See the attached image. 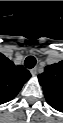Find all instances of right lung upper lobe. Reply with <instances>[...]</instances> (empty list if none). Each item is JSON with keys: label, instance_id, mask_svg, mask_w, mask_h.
<instances>
[{"label": "right lung upper lobe", "instance_id": "cb5924a9", "mask_svg": "<svg viewBox=\"0 0 63 123\" xmlns=\"http://www.w3.org/2000/svg\"><path fill=\"white\" fill-rule=\"evenodd\" d=\"M0 101L12 100L27 82L31 74L23 66H15L12 61L2 56L0 64Z\"/></svg>", "mask_w": 63, "mask_h": 123}]
</instances>
